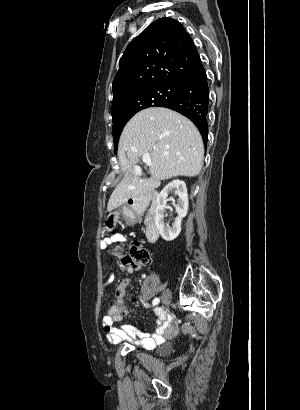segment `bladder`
<instances>
[{"instance_id": "obj_1", "label": "bladder", "mask_w": 300, "mask_h": 410, "mask_svg": "<svg viewBox=\"0 0 300 410\" xmlns=\"http://www.w3.org/2000/svg\"><path fill=\"white\" fill-rule=\"evenodd\" d=\"M170 350H171V344L168 342H165L159 346L158 354H161V353H164Z\"/></svg>"}]
</instances>
